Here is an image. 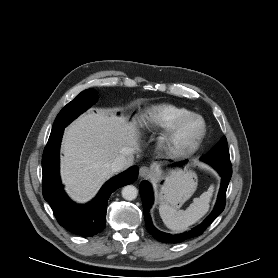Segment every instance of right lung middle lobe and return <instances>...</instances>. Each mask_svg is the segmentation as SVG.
<instances>
[{
    "label": "right lung middle lobe",
    "mask_w": 278,
    "mask_h": 278,
    "mask_svg": "<svg viewBox=\"0 0 278 278\" xmlns=\"http://www.w3.org/2000/svg\"><path fill=\"white\" fill-rule=\"evenodd\" d=\"M97 98V91L94 89L82 91L59 112L54 121L51 132H55L66 127L72 120L95 103Z\"/></svg>",
    "instance_id": "obj_1"
}]
</instances>
